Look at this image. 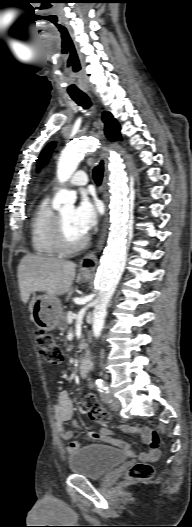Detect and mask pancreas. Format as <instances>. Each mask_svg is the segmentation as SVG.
<instances>
[{"mask_svg":"<svg viewBox=\"0 0 192 527\" xmlns=\"http://www.w3.org/2000/svg\"><path fill=\"white\" fill-rule=\"evenodd\" d=\"M67 316L68 313H63L59 319L58 329L61 331H65L68 328Z\"/></svg>","mask_w":192,"mask_h":527,"instance_id":"obj_1","label":"pancreas"}]
</instances>
